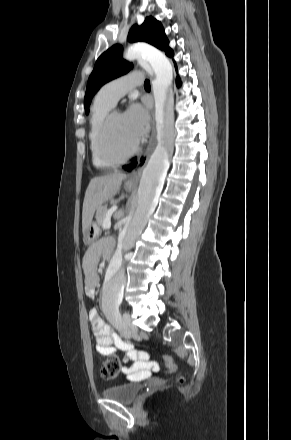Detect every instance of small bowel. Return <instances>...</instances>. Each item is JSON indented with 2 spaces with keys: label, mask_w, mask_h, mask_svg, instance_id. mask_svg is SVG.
<instances>
[{
  "label": "small bowel",
  "mask_w": 291,
  "mask_h": 440,
  "mask_svg": "<svg viewBox=\"0 0 291 440\" xmlns=\"http://www.w3.org/2000/svg\"><path fill=\"white\" fill-rule=\"evenodd\" d=\"M113 248L114 243L112 240L103 239L87 249L83 257L85 294L91 302L94 301L96 287L99 282V276L96 272L99 261L103 255L110 254ZM89 320L96 337V349L101 355L110 356L122 350L126 352L124 363H127L129 360L133 361L132 365H123L122 367V372L126 376L147 378L152 374L158 373L159 365L149 358L142 357L130 342L123 341L110 325L104 323L97 309L92 308L89 311Z\"/></svg>",
  "instance_id": "c3829d8e"
}]
</instances>
